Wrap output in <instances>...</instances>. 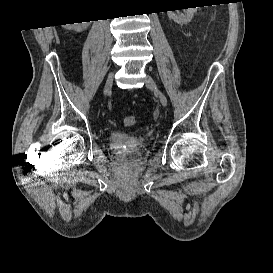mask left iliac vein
Returning a JSON list of instances; mask_svg holds the SVG:
<instances>
[{
	"label": "left iliac vein",
	"instance_id": "obj_1",
	"mask_svg": "<svg viewBox=\"0 0 273 273\" xmlns=\"http://www.w3.org/2000/svg\"><path fill=\"white\" fill-rule=\"evenodd\" d=\"M145 84H146V87L149 89V90H152L154 91V93L157 95V97L159 98V101L160 103L163 105V106H167V98L166 96L158 89L157 85H156V82L154 81V79L150 76V75H147L145 77Z\"/></svg>",
	"mask_w": 273,
	"mask_h": 273
}]
</instances>
